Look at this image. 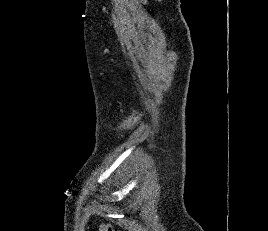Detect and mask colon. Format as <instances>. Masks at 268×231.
Masks as SVG:
<instances>
[{"label":"colon","instance_id":"5ec220e1","mask_svg":"<svg viewBox=\"0 0 268 231\" xmlns=\"http://www.w3.org/2000/svg\"><path fill=\"white\" fill-rule=\"evenodd\" d=\"M98 231H114V229L110 223L102 222L98 226Z\"/></svg>","mask_w":268,"mask_h":231}]
</instances>
